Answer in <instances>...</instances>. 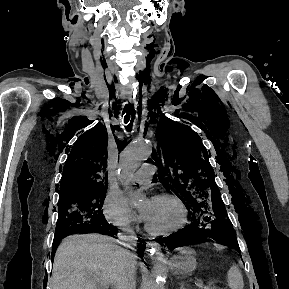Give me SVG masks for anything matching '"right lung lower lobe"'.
Returning a JSON list of instances; mask_svg holds the SVG:
<instances>
[{"label": "right lung lower lobe", "mask_w": 289, "mask_h": 289, "mask_svg": "<svg viewBox=\"0 0 289 289\" xmlns=\"http://www.w3.org/2000/svg\"><path fill=\"white\" fill-rule=\"evenodd\" d=\"M89 232H98V233H102V234L114 237V235H116L118 233V230L114 226L110 225L106 220H103L102 222H96V223H92V224H84V225L80 226L79 228L72 230L70 232V235L76 234V233H89ZM64 237L65 236H56L55 237V239L53 241V246H52L53 258H54V254H55V251L58 247L59 242ZM138 249L143 254L145 246L144 245L143 246L138 245Z\"/></svg>", "instance_id": "obj_1"}]
</instances>
